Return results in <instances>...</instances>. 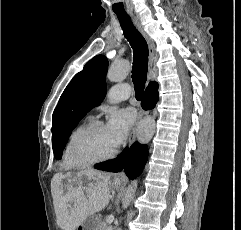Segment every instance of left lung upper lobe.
<instances>
[{
	"instance_id": "5c2ea615",
	"label": "left lung upper lobe",
	"mask_w": 241,
	"mask_h": 230,
	"mask_svg": "<svg viewBox=\"0 0 241 230\" xmlns=\"http://www.w3.org/2000/svg\"><path fill=\"white\" fill-rule=\"evenodd\" d=\"M108 64L104 55L95 56L73 77L61 95L52 116V147L56 159L61 158L79 121L104 99Z\"/></svg>"
}]
</instances>
